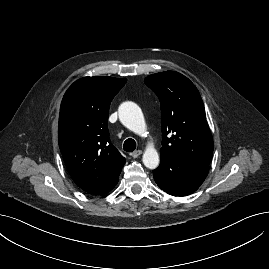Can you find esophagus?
I'll list each match as a JSON object with an SVG mask.
<instances>
[{
    "label": "esophagus",
    "instance_id": "obj_1",
    "mask_svg": "<svg viewBox=\"0 0 269 269\" xmlns=\"http://www.w3.org/2000/svg\"><path fill=\"white\" fill-rule=\"evenodd\" d=\"M142 154V151L141 150H136L134 152H132L130 155L133 157V158H137L138 156H140Z\"/></svg>",
    "mask_w": 269,
    "mask_h": 269
}]
</instances>
